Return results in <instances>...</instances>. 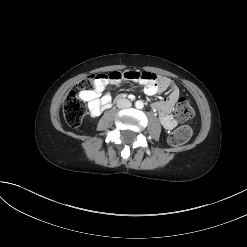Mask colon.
<instances>
[{"label":"colon","mask_w":247,"mask_h":247,"mask_svg":"<svg viewBox=\"0 0 247 247\" xmlns=\"http://www.w3.org/2000/svg\"><path fill=\"white\" fill-rule=\"evenodd\" d=\"M102 77L100 74L91 75L80 81L77 84V88L82 91L90 90L95 81ZM85 111L86 108L83 99L75 91H71L65 97L63 103V114L67 124L73 128L80 126L85 116ZM194 114V109L189 101L185 98H180L175 108L176 117L179 120L186 121L193 118ZM191 134V128L188 125H182L169 135L168 141L173 146H179L186 143L190 139Z\"/></svg>","instance_id":"colon-1"}]
</instances>
